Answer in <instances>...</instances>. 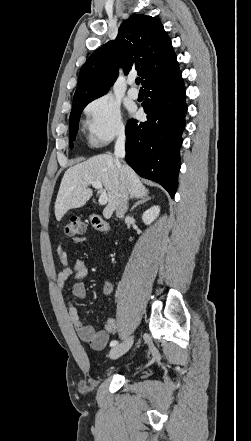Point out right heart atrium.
I'll use <instances>...</instances> for the list:
<instances>
[{
    "label": "right heart atrium",
    "instance_id": "1",
    "mask_svg": "<svg viewBox=\"0 0 251 441\" xmlns=\"http://www.w3.org/2000/svg\"><path fill=\"white\" fill-rule=\"evenodd\" d=\"M89 142L98 147L120 138L125 126L119 104L109 95L93 99L84 109Z\"/></svg>",
    "mask_w": 251,
    "mask_h": 441
}]
</instances>
